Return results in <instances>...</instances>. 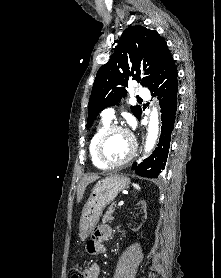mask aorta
Returning a JSON list of instances; mask_svg holds the SVG:
<instances>
[{"instance_id":"aorta-1","label":"aorta","mask_w":221,"mask_h":278,"mask_svg":"<svg viewBox=\"0 0 221 278\" xmlns=\"http://www.w3.org/2000/svg\"><path fill=\"white\" fill-rule=\"evenodd\" d=\"M159 132V119L157 108L153 107L149 118L148 135L145 144V152H150L155 145Z\"/></svg>"}]
</instances>
